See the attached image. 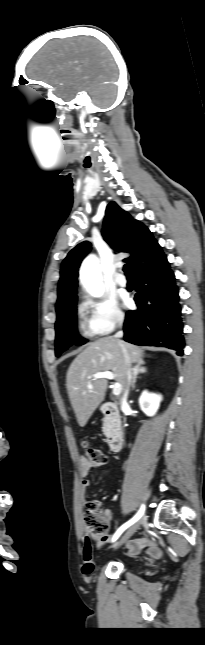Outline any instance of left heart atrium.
Masks as SVG:
<instances>
[{
	"instance_id": "1",
	"label": "left heart atrium",
	"mask_w": 205,
	"mask_h": 645,
	"mask_svg": "<svg viewBox=\"0 0 205 645\" xmlns=\"http://www.w3.org/2000/svg\"><path fill=\"white\" fill-rule=\"evenodd\" d=\"M130 303L129 299H125V304L128 305Z\"/></svg>"
}]
</instances>
